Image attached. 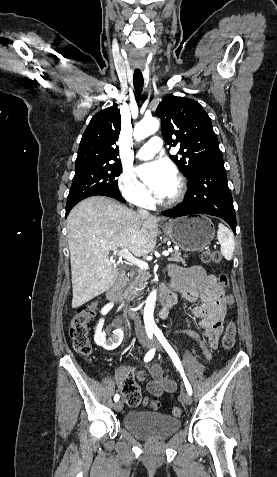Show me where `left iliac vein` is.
I'll return each mask as SVG.
<instances>
[{
  "label": "left iliac vein",
  "instance_id": "left-iliac-vein-1",
  "mask_svg": "<svg viewBox=\"0 0 277 477\" xmlns=\"http://www.w3.org/2000/svg\"><path fill=\"white\" fill-rule=\"evenodd\" d=\"M155 344V347L158 349V350H162V347L160 346V344L158 343V341L155 340L154 342ZM181 399L183 401V403H185L186 405H190L192 403V397L189 393L187 392H184L181 396Z\"/></svg>",
  "mask_w": 277,
  "mask_h": 477
}]
</instances>
